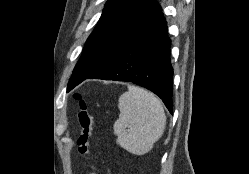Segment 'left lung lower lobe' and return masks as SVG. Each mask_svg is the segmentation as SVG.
<instances>
[{"mask_svg":"<svg viewBox=\"0 0 249 174\" xmlns=\"http://www.w3.org/2000/svg\"><path fill=\"white\" fill-rule=\"evenodd\" d=\"M167 33V24L160 11L105 66L88 78L75 79L68 91L85 79L132 82L158 95L172 114L173 68Z\"/></svg>","mask_w":249,"mask_h":174,"instance_id":"obj_1","label":"left lung lower lobe"}]
</instances>
